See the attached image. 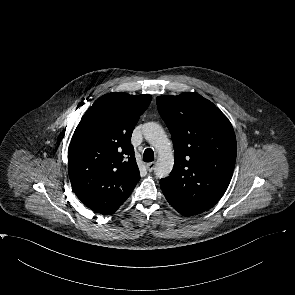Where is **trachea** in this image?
<instances>
[{"instance_id": "1", "label": "trachea", "mask_w": 295, "mask_h": 295, "mask_svg": "<svg viewBox=\"0 0 295 295\" xmlns=\"http://www.w3.org/2000/svg\"><path fill=\"white\" fill-rule=\"evenodd\" d=\"M144 162H152L154 160V152L151 148H147L143 154Z\"/></svg>"}]
</instances>
